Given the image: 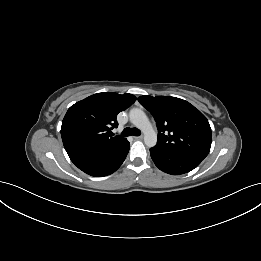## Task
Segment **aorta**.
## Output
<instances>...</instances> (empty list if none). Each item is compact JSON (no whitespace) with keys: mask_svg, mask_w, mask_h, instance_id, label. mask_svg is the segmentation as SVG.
Here are the masks:
<instances>
[{"mask_svg":"<svg viewBox=\"0 0 261 261\" xmlns=\"http://www.w3.org/2000/svg\"><path fill=\"white\" fill-rule=\"evenodd\" d=\"M130 121L144 134V142L148 147H154L157 143V135L147 115L142 109L133 108L129 113Z\"/></svg>","mask_w":261,"mask_h":261,"instance_id":"762f6f07","label":"aorta"}]
</instances>
